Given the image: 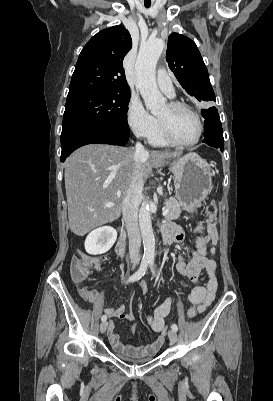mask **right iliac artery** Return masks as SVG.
Wrapping results in <instances>:
<instances>
[{
  "mask_svg": "<svg viewBox=\"0 0 273 401\" xmlns=\"http://www.w3.org/2000/svg\"><path fill=\"white\" fill-rule=\"evenodd\" d=\"M149 262H150V258H143V259H142V262H141V265H140V268L138 269L137 272H135V273L128 279V282L137 281V280H139L142 276H144V274H145V272H146V270H147V267H148ZM101 320H102V321H106V320H107V316H106V315H103V316L101 317Z\"/></svg>",
  "mask_w": 273,
  "mask_h": 401,
  "instance_id": "right-iliac-artery-1",
  "label": "right iliac artery"
}]
</instances>
